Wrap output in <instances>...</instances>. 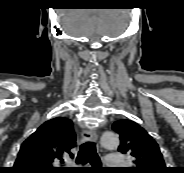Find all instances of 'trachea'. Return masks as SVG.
<instances>
[{
    "label": "trachea",
    "instance_id": "1",
    "mask_svg": "<svg viewBox=\"0 0 184 173\" xmlns=\"http://www.w3.org/2000/svg\"><path fill=\"white\" fill-rule=\"evenodd\" d=\"M76 162L78 164L89 162L93 167H101V160L96 152L94 142L86 141L80 145Z\"/></svg>",
    "mask_w": 184,
    "mask_h": 173
}]
</instances>
